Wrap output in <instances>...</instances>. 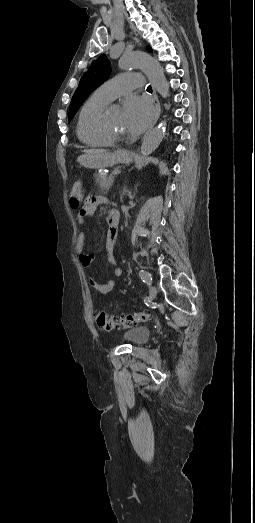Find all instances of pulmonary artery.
<instances>
[{
  "mask_svg": "<svg viewBox=\"0 0 255 523\" xmlns=\"http://www.w3.org/2000/svg\"><path fill=\"white\" fill-rule=\"evenodd\" d=\"M143 84V76L136 75L134 72L122 71L118 77L114 76L110 82H106L99 87V90L106 97L113 100L122 95L128 97L130 92H135Z\"/></svg>",
  "mask_w": 255,
  "mask_h": 523,
  "instance_id": "obj_1",
  "label": "pulmonary artery"
}]
</instances>
